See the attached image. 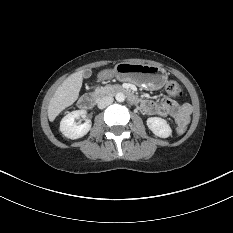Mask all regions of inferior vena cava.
<instances>
[{"label": "inferior vena cava", "mask_w": 233, "mask_h": 233, "mask_svg": "<svg viewBox=\"0 0 233 233\" xmlns=\"http://www.w3.org/2000/svg\"><path fill=\"white\" fill-rule=\"evenodd\" d=\"M112 103H113V97L111 96L102 97L98 101V108L104 109Z\"/></svg>", "instance_id": "1"}]
</instances>
